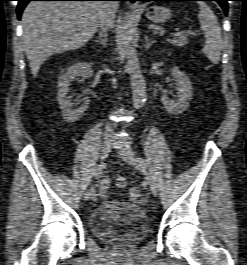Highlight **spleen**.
Returning a JSON list of instances; mask_svg holds the SVG:
<instances>
[{"label":"spleen","instance_id":"1","mask_svg":"<svg viewBox=\"0 0 247 265\" xmlns=\"http://www.w3.org/2000/svg\"><path fill=\"white\" fill-rule=\"evenodd\" d=\"M198 5L200 7L198 19L206 38L202 51L212 63L218 64L223 46L219 23L213 11L205 2L200 1Z\"/></svg>","mask_w":247,"mask_h":265}]
</instances>
